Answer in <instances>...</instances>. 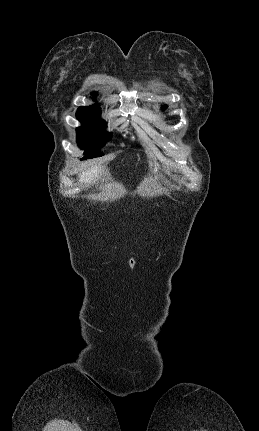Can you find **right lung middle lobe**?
Returning a JSON list of instances; mask_svg holds the SVG:
<instances>
[{"label":"right lung middle lobe","instance_id":"right-lung-middle-lobe-1","mask_svg":"<svg viewBox=\"0 0 259 431\" xmlns=\"http://www.w3.org/2000/svg\"><path fill=\"white\" fill-rule=\"evenodd\" d=\"M101 111L98 105L80 107L76 113L78 120L82 123L76 129L77 142L81 149L86 150V156L82 159L100 157L98 150L111 139V133H104L106 122L100 118ZM89 150H93L89 152Z\"/></svg>","mask_w":259,"mask_h":431}]
</instances>
